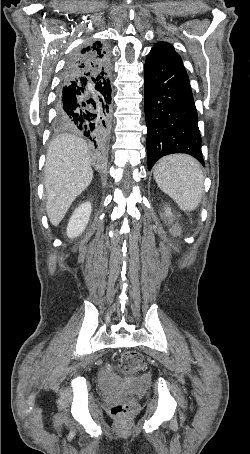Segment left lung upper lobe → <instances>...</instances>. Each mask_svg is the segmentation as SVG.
I'll use <instances>...</instances> for the list:
<instances>
[{
	"label": "left lung upper lobe",
	"instance_id": "1",
	"mask_svg": "<svg viewBox=\"0 0 250 454\" xmlns=\"http://www.w3.org/2000/svg\"><path fill=\"white\" fill-rule=\"evenodd\" d=\"M150 52L159 54V55H161L163 57H167V58H171V59H175V60H180L181 61V57L179 56V54H177L175 52L174 47L171 44L167 43V42H158L151 49Z\"/></svg>",
	"mask_w": 250,
	"mask_h": 454
}]
</instances>
